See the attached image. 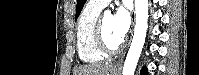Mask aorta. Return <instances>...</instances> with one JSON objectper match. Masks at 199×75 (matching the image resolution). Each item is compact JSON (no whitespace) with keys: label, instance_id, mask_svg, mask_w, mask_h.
<instances>
[{"label":"aorta","instance_id":"aorta-1","mask_svg":"<svg viewBox=\"0 0 199 75\" xmlns=\"http://www.w3.org/2000/svg\"><path fill=\"white\" fill-rule=\"evenodd\" d=\"M110 11H105L104 16H110ZM135 30L130 49L128 51L123 75H133L145 43L148 27V0H135Z\"/></svg>","mask_w":199,"mask_h":75}]
</instances>
